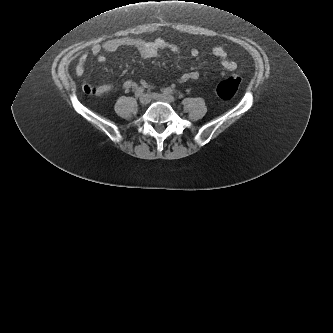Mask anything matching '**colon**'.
Listing matches in <instances>:
<instances>
[{"label":"colon","mask_w":333,"mask_h":333,"mask_svg":"<svg viewBox=\"0 0 333 333\" xmlns=\"http://www.w3.org/2000/svg\"><path fill=\"white\" fill-rule=\"evenodd\" d=\"M241 84L239 76H231L227 79L220 81L216 87L217 95L224 99L229 100L235 96Z\"/></svg>","instance_id":"5ec220e1"}]
</instances>
